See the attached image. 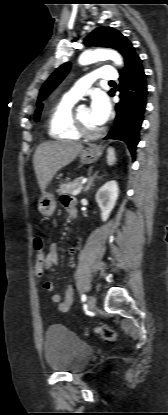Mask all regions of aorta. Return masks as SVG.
<instances>
[{"label": "aorta", "mask_w": 168, "mask_h": 415, "mask_svg": "<svg viewBox=\"0 0 168 415\" xmlns=\"http://www.w3.org/2000/svg\"><path fill=\"white\" fill-rule=\"evenodd\" d=\"M110 59L116 65L122 67L123 59L121 55L112 49H96L93 51H85L79 57L80 65H89L100 60Z\"/></svg>", "instance_id": "1"}]
</instances>
